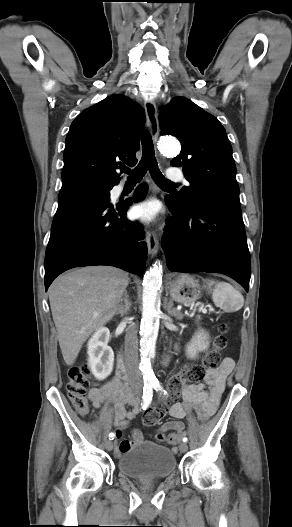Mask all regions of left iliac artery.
I'll list each match as a JSON object with an SVG mask.
<instances>
[{
    "label": "left iliac artery",
    "mask_w": 292,
    "mask_h": 527,
    "mask_svg": "<svg viewBox=\"0 0 292 527\" xmlns=\"http://www.w3.org/2000/svg\"><path fill=\"white\" fill-rule=\"evenodd\" d=\"M152 385H153V387H154V389H155L156 391H163V388H162V386H161V384L159 383L158 380L155 381V382H153ZM164 392H165V391H164ZM187 441H188L187 437H184V438H183V442H187Z\"/></svg>",
    "instance_id": "obj_1"
}]
</instances>
